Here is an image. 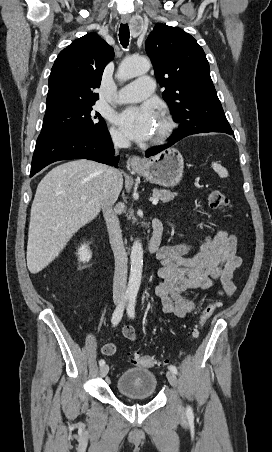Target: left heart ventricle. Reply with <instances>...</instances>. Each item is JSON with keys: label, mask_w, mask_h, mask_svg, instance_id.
<instances>
[{"label": "left heart ventricle", "mask_w": 272, "mask_h": 452, "mask_svg": "<svg viewBox=\"0 0 272 452\" xmlns=\"http://www.w3.org/2000/svg\"><path fill=\"white\" fill-rule=\"evenodd\" d=\"M162 126H163V122H162L161 117H159V118H157V120L155 122L154 131L152 134L153 137L156 136L161 131Z\"/></svg>", "instance_id": "left-heart-ventricle-1"}]
</instances>
